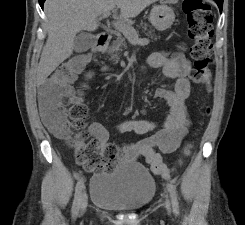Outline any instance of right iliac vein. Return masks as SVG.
Masks as SVG:
<instances>
[{
	"instance_id": "63e3f726",
	"label": "right iliac vein",
	"mask_w": 245,
	"mask_h": 225,
	"mask_svg": "<svg viewBox=\"0 0 245 225\" xmlns=\"http://www.w3.org/2000/svg\"><path fill=\"white\" fill-rule=\"evenodd\" d=\"M87 202H88L87 194L85 192H83L81 195V200H80V211H81V213H83L86 210Z\"/></svg>"
}]
</instances>
